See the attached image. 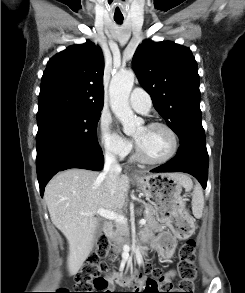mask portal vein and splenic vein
Returning a JSON list of instances; mask_svg holds the SVG:
<instances>
[{
    "mask_svg": "<svg viewBox=\"0 0 245 293\" xmlns=\"http://www.w3.org/2000/svg\"><path fill=\"white\" fill-rule=\"evenodd\" d=\"M83 215H93V214H99L101 217L109 219V220H114L117 223L120 224H126L127 220L123 215L117 214L113 211H109V210H105V209H98L95 212H91V213H82ZM139 224L141 225H145L146 224V220L145 219H141L139 221Z\"/></svg>",
    "mask_w": 245,
    "mask_h": 293,
    "instance_id": "18ae733b",
    "label": "portal vein and splenic vein"
}]
</instances>
